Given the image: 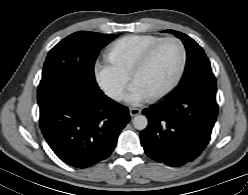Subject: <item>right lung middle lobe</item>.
Instances as JSON below:
<instances>
[{
	"mask_svg": "<svg viewBox=\"0 0 248 195\" xmlns=\"http://www.w3.org/2000/svg\"><path fill=\"white\" fill-rule=\"evenodd\" d=\"M117 36L80 31L63 39L47 56L38 94L60 85L100 90L94 76L95 61L100 50Z\"/></svg>",
	"mask_w": 248,
	"mask_h": 195,
	"instance_id": "dd1d6c3e",
	"label": "right lung middle lobe"
}]
</instances>
